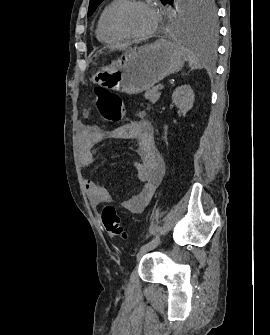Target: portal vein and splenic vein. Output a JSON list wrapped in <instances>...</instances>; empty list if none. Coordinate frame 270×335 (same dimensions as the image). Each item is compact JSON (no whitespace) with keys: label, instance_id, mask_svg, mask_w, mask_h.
<instances>
[{"label":"portal vein and splenic vein","instance_id":"obj_1","mask_svg":"<svg viewBox=\"0 0 270 335\" xmlns=\"http://www.w3.org/2000/svg\"><path fill=\"white\" fill-rule=\"evenodd\" d=\"M165 87L162 85L159 89L162 91Z\"/></svg>","mask_w":270,"mask_h":335}]
</instances>
